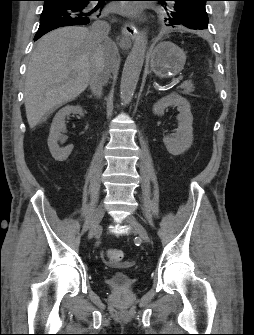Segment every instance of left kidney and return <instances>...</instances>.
<instances>
[{
	"label": "left kidney",
	"mask_w": 254,
	"mask_h": 335,
	"mask_svg": "<svg viewBox=\"0 0 254 335\" xmlns=\"http://www.w3.org/2000/svg\"><path fill=\"white\" fill-rule=\"evenodd\" d=\"M177 107L180 112L178 119V128L176 133L163 138L164 145L172 155H180L187 151L193 143V116L190 111V103L177 93L163 97L153 105L155 115H163L164 110L169 107Z\"/></svg>",
	"instance_id": "left-kidney-1"
}]
</instances>
